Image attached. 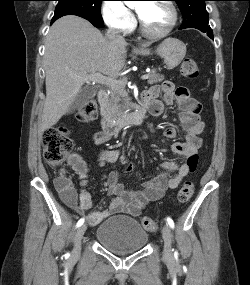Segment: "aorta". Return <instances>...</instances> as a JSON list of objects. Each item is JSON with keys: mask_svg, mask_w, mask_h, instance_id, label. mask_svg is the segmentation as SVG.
<instances>
[{"mask_svg": "<svg viewBox=\"0 0 250 285\" xmlns=\"http://www.w3.org/2000/svg\"><path fill=\"white\" fill-rule=\"evenodd\" d=\"M125 3H126V4H131V2H129V1H126Z\"/></svg>", "mask_w": 250, "mask_h": 285, "instance_id": "aorta-1", "label": "aorta"}]
</instances>
